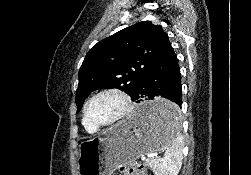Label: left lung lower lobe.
I'll return each mask as SVG.
<instances>
[{"label": "left lung lower lobe", "mask_w": 251, "mask_h": 175, "mask_svg": "<svg viewBox=\"0 0 251 175\" xmlns=\"http://www.w3.org/2000/svg\"><path fill=\"white\" fill-rule=\"evenodd\" d=\"M181 74L178 59L168 41L158 59L152 64L137 85L132 100L165 98L175 104H164L142 109L138 117L144 122L171 123L180 117L182 105Z\"/></svg>", "instance_id": "left-lung-lower-lobe-1"}]
</instances>
